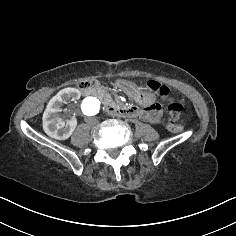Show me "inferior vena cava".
I'll use <instances>...</instances> for the list:
<instances>
[{"instance_id": "obj_1", "label": "inferior vena cava", "mask_w": 236, "mask_h": 236, "mask_svg": "<svg viewBox=\"0 0 236 236\" xmlns=\"http://www.w3.org/2000/svg\"><path fill=\"white\" fill-rule=\"evenodd\" d=\"M85 121L88 123V124H93V125H96L98 123V120L96 118H90V117H86L85 118Z\"/></svg>"}]
</instances>
